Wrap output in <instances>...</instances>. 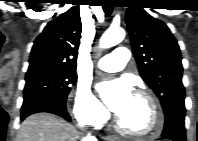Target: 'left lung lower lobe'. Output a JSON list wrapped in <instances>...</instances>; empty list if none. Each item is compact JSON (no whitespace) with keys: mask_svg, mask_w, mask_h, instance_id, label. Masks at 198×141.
Wrapping results in <instances>:
<instances>
[{"mask_svg":"<svg viewBox=\"0 0 198 141\" xmlns=\"http://www.w3.org/2000/svg\"><path fill=\"white\" fill-rule=\"evenodd\" d=\"M185 107L179 106L172 109L165 116V126L162 133L163 139L173 141H185L184 127Z\"/></svg>","mask_w":198,"mask_h":141,"instance_id":"0a47b994","label":"left lung lower lobe"}]
</instances>
